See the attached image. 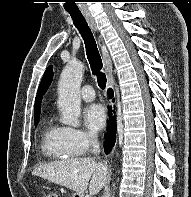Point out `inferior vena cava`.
<instances>
[{"label": "inferior vena cava", "instance_id": "obj_1", "mask_svg": "<svg viewBox=\"0 0 191 197\" xmlns=\"http://www.w3.org/2000/svg\"><path fill=\"white\" fill-rule=\"evenodd\" d=\"M89 139H90V143L92 145L93 153L94 154H99L100 153V148H99V142H98L97 136L90 135Z\"/></svg>", "mask_w": 191, "mask_h": 197}]
</instances>
